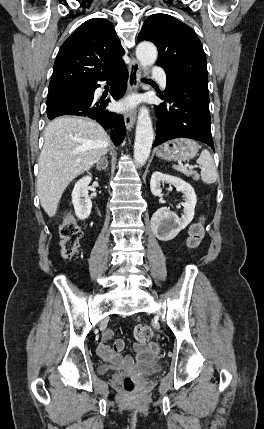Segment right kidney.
Returning <instances> with one entry per match:
<instances>
[{"label":"right kidney","instance_id":"ca27d5eb","mask_svg":"<svg viewBox=\"0 0 264 429\" xmlns=\"http://www.w3.org/2000/svg\"><path fill=\"white\" fill-rule=\"evenodd\" d=\"M90 182L91 177L85 176L75 183L72 191V204L75 214L81 220L88 218L92 209V202L88 196Z\"/></svg>","mask_w":264,"mask_h":429}]
</instances>
